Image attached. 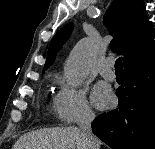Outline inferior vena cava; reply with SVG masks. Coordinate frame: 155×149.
I'll use <instances>...</instances> for the list:
<instances>
[{
    "instance_id": "1",
    "label": "inferior vena cava",
    "mask_w": 155,
    "mask_h": 149,
    "mask_svg": "<svg viewBox=\"0 0 155 149\" xmlns=\"http://www.w3.org/2000/svg\"><path fill=\"white\" fill-rule=\"evenodd\" d=\"M94 118V113L86 111L83 113L79 124V127L85 136L88 149H100L99 140L93 135L91 130V123Z\"/></svg>"
}]
</instances>
